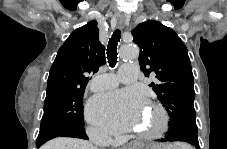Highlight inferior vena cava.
<instances>
[{
  "mask_svg": "<svg viewBox=\"0 0 227 149\" xmlns=\"http://www.w3.org/2000/svg\"><path fill=\"white\" fill-rule=\"evenodd\" d=\"M91 138L95 141H98L99 143L102 144H106L108 142H110V139L108 138V136L102 132L99 131H93L91 133Z\"/></svg>",
  "mask_w": 227,
  "mask_h": 149,
  "instance_id": "inferior-vena-cava-1",
  "label": "inferior vena cava"
}]
</instances>
